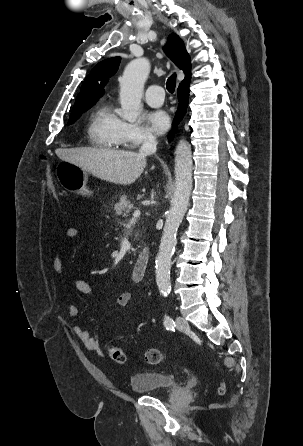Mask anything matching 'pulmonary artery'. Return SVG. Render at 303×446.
Instances as JSON below:
<instances>
[{"label": "pulmonary artery", "mask_w": 303, "mask_h": 446, "mask_svg": "<svg viewBox=\"0 0 303 446\" xmlns=\"http://www.w3.org/2000/svg\"><path fill=\"white\" fill-rule=\"evenodd\" d=\"M145 100L152 107H159L164 101V90L161 86L151 85L145 92Z\"/></svg>", "instance_id": "e3ab8cb5"}]
</instances>
